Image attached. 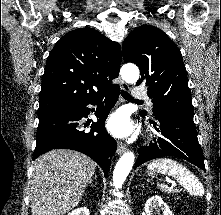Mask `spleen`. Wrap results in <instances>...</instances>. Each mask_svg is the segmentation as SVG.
I'll return each instance as SVG.
<instances>
[{"instance_id": "3e777b00", "label": "spleen", "mask_w": 221, "mask_h": 215, "mask_svg": "<svg viewBox=\"0 0 221 215\" xmlns=\"http://www.w3.org/2000/svg\"><path fill=\"white\" fill-rule=\"evenodd\" d=\"M147 168L150 171H158L174 177L191 195L202 196L204 194V187L199 179L190 170L171 158L153 160ZM158 187L168 193L177 191L164 184H158Z\"/></svg>"}]
</instances>
